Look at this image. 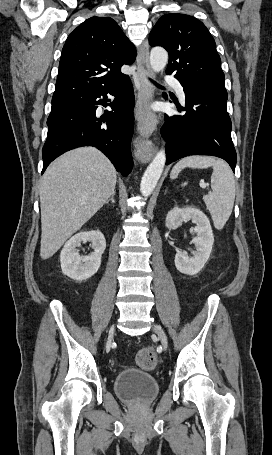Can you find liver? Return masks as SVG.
<instances>
[{
  "instance_id": "1",
  "label": "liver",
  "mask_w": 272,
  "mask_h": 455,
  "mask_svg": "<svg viewBox=\"0 0 272 455\" xmlns=\"http://www.w3.org/2000/svg\"><path fill=\"white\" fill-rule=\"evenodd\" d=\"M116 170L100 151L81 147L57 158L40 185V257L53 256L106 203Z\"/></svg>"
}]
</instances>
